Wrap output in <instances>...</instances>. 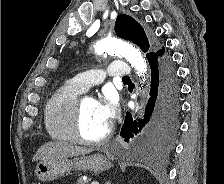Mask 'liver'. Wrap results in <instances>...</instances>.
<instances>
[{"label": "liver", "mask_w": 224, "mask_h": 184, "mask_svg": "<svg viewBox=\"0 0 224 184\" xmlns=\"http://www.w3.org/2000/svg\"><path fill=\"white\" fill-rule=\"evenodd\" d=\"M92 149L60 142H47L41 146L33 157V161L68 158L91 153Z\"/></svg>", "instance_id": "obj_1"}]
</instances>
